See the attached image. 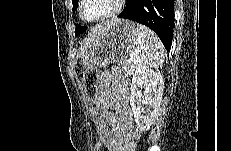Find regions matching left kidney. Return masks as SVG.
Segmentation results:
<instances>
[{
  "instance_id": "5707ae66",
  "label": "left kidney",
  "mask_w": 231,
  "mask_h": 151,
  "mask_svg": "<svg viewBox=\"0 0 231 151\" xmlns=\"http://www.w3.org/2000/svg\"><path fill=\"white\" fill-rule=\"evenodd\" d=\"M163 89L162 74L144 66L136 69L132 78L130 105L140 131L149 130L153 124L160 108Z\"/></svg>"
}]
</instances>
